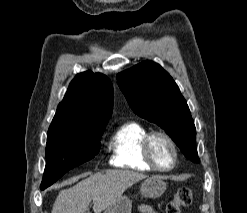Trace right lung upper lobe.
Returning <instances> with one entry per match:
<instances>
[{
    "label": "right lung upper lobe",
    "mask_w": 247,
    "mask_h": 213,
    "mask_svg": "<svg viewBox=\"0 0 247 213\" xmlns=\"http://www.w3.org/2000/svg\"><path fill=\"white\" fill-rule=\"evenodd\" d=\"M113 107V87L103 74L86 71L71 81L50 128L92 129L106 125Z\"/></svg>",
    "instance_id": "right-lung-upper-lobe-1"
}]
</instances>
